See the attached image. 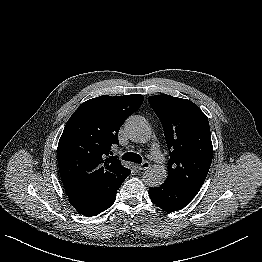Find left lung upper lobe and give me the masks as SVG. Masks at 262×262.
<instances>
[{"instance_id":"obj_1","label":"left lung upper lobe","mask_w":262,"mask_h":262,"mask_svg":"<svg viewBox=\"0 0 262 262\" xmlns=\"http://www.w3.org/2000/svg\"><path fill=\"white\" fill-rule=\"evenodd\" d=\"M170 150L166 181L198 191L212 162L209 122L192 101L170 95L149 96Z\"/></svg>"}]
</instances>
